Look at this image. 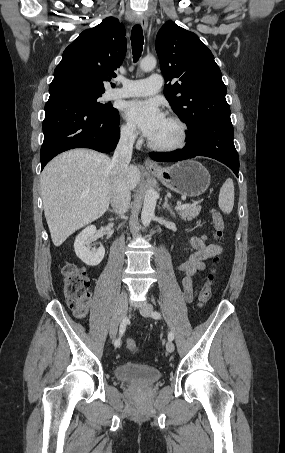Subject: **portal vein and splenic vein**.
Instances as JSON below:
<instances>
[{
  "instance_id": "1",
  "label": "portal vein and splenic vein",
  "mask_w": 285,
  "mask_h": 453,
  "mask_svg": "<svg viewBox=\"0 0 285 453\" xmlns=\"http://www.w3.org/2000/svg\"><path fill=\"white\" fill-rule=\"evenodd\" d=\"M188 204H181L180 202L177 203V206L175 207L176 210L184 209L187 208Z\"/></svg>"
}]
</instances>
